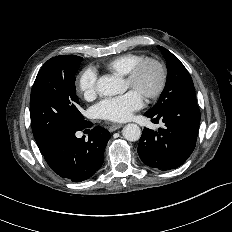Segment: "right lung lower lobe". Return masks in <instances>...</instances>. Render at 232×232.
Wrapping results in <instances>:
<instances>
[{"mask_svg": "<svg viewBox=\"0 0 232 232\" xmlns=\"http://www.w3.org/2000/svg\"><path fill=\"white\" fill-rule=\"evenodd\" d=\"M91 126L92 123L86 122L77 130L60 134L43 154L50 168L60 177L81 182L92 177L102 166L110 133L105 128L96 126L91 130L87 141L85 136H75L77 131Z\"/></svg>", "mask_w": 232, "mask_h": 232, "instance_id": "right-lung-lower-lobe-1", "label": "right lung lower lobe"}]
</instances>
